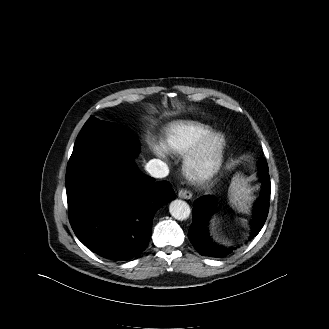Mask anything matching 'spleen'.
I'll use <instances>...</instances> for the list:
<instances>
[{"label":"spleen","instance_id":"spleen-1","mask_svg":"<svg viewBox=\"0 0 329 329\" xmlns=\"http://www.w3.org/2000/svg\"><path fill=\"white\" fill-rule=\"evenodd\" d=\"M251 194L252 188L248 185V181L239 174L235 175L229 187V200L232 206L240 211H247L248 204L252 200Z\"/></svg>","mask_w":329,"mask_h":329}]
</instances>
